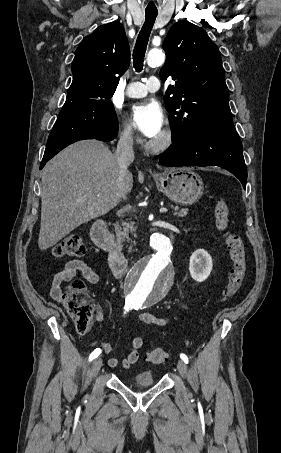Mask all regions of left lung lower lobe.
<instances>
[{
  "mask_svg": "<svg viewBox=\"0 0 281 453\" xmlns=\"http://www.w3.org/2000/svg\"><path fill=\"white\" fill-rule=\"evenodd\" d=\"M159 159L160 164L168 167L219 166L234 174L246 188L242 143L233 124L206 129L176 141Z\"/></svg>",
  "mask_w": 281,
  "mask_h": 453,
  "instance_id": "0a47b994",
  "label": "left lung lower lobe"
}]
</instances>
